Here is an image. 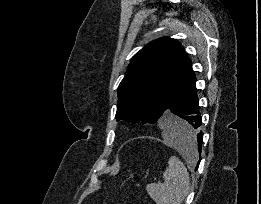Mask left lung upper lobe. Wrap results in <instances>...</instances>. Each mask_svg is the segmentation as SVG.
<instances>
[{"label":"left lung upper lobe","instance_id":"5c2ea615","mask_svg":"<svg viewBox=\"0 0 261 204\" xmlns=\"http://www.w3.org/2000/svg\"><path fill=\"white\" fill-rule=\"evenodd\" d=\"M192 62L182 45L169 37L147 44L131 59L118 87L116 120L155 123L164 114Z\"/></svg>","mask_w":261,"mask_h":204}]
</instances>
